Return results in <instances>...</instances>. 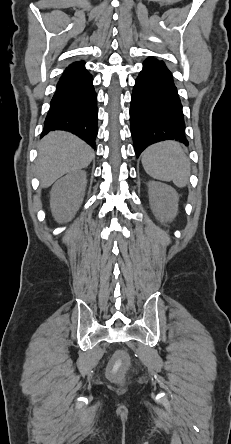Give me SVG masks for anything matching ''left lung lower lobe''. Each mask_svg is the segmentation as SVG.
Masks as SVG:
<instances>
[{"label": "left lung lower lobe", "instance_id": "1", "mask_svg": "<svg viewBox=\"0 0 231 444\" xmlns=\"http://www.w3.org/2000/svg\"><path fill=\"white\" fill-rule=\"evenodd\" d=\"M136 155L150 144L175 139L188 145L182 105L171 72L162 61L147 58L135 80L130 106Z\"/></svg>", "mask_w": 231, "mask_h": 444}]
</instances>
